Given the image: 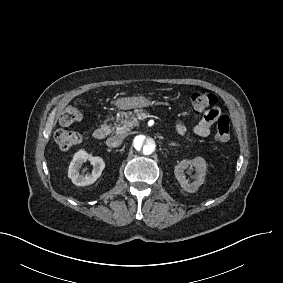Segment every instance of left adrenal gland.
<instances>
[{"instance_id":"obj_1","label":"left adrenal gland","mask_w":283,"mask_h":283,"mask_svg":"<svg viewBox=\"0 0 283 283\" xmlns=\"http://www.w3.org/2000/svg\"><path fill=\"white\" fill-rule=\"evenodd\" d=\"M169 145H170V146H179V144L174 143V142L170 143Z\"/></svg>"}]
</instances>
